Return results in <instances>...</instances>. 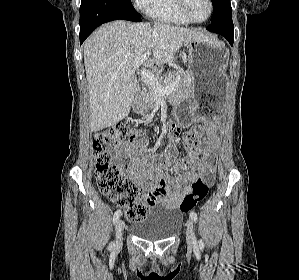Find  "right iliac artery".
<instances>
[{
	"label": "right iliac artery",
	"mask_w": 299,
	"mask_h": 280,
	"mask_svg": "<svg viewBox=\"0 0 299 280\" xmlns=\"http://www.w3.org/2000/svg\"><path fill=\"white\" fill-rule=\"evenodd\" d=\"M121 216V211L120 210H117L115 213H114V216H113V222L116 223L118 221V219L120 218ZM114 248V243H111L110 244V249H113Z\"/></svg>",
	"instance_id": "82829eb1"
}]
</instances>
